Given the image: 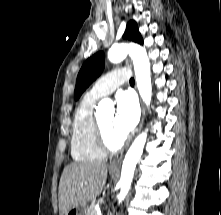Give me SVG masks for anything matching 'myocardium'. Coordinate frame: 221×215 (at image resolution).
<instances>
[{
    "label": "myocardium",
    "instance_id": "1",
    "mask_svg": "<svg viewBox=\"0 0 221 215\" xmlns=\"http://www.w3.org/2000/svg\"><path fill=\"white\" fill-rule=\"evenodd\" d=\"M95 137L97 144L99 148L105 153V154H113L118 151H120L125 143L126 140L122 138L120 141L116 143H112L106 136L103 127L100 123L99 118L95 119Z\"/></svg>",
    "mask_w": 221,
    "mask_h": 215
}]
</instances>
